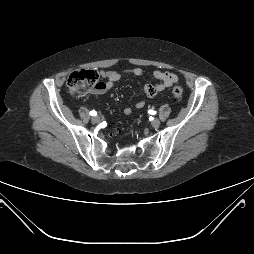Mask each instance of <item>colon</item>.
Here are the masks:
<instances>
[{
    "instance_id": "obj_1",
    "label": "colon",
    "mask_w": 254,
    "mask_h": 254,
    "mask_svg": "<svg viewBox=\"0 0 254 254\" xmlns=\"http://www.w3.org/2000/svg\"><path fill=\"white\" fill-rule=\"evenodd\" d=\"M100 85L99 76L97 72L92 70H77L72 72L67 79L68 91L74 96L85 94L90 89ZM174 100L181 99L183 89L176 86L171 91Z\"/></svg>"
}]
</instances>
